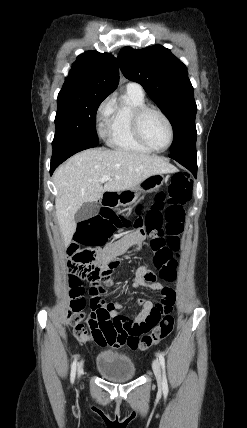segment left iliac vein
I'll return each instance as SVG.
<instances>
[{
	"label": "left iliac vein",
	"instance_id": "4c4485c4",
	"mask_svg": "<svg viewBox=\"0 0 247 428\" xmlns=\"http://www.w3.org/2000/svg\"><path fill=\"white\" fill-rule=\"evenodd\" d=\"M152 369H153V372H154L156 380H157L158 388L161 390L162 389V376H161L160 364H159L157 359H155L153 361Z\"/></svg>",
	"mask_w": 247,
	"mask_h": 428
}]
</instances>
